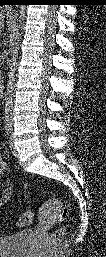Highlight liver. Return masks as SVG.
Here are the masks:
<instances>
[{
    "instance_id": "obj_1",
    "label": "liver",
    "mask_w": 106,
    "mask_h": 257,
    "mask_svg": "<svg viewBox=\"0 0 106 257\" xmlns=\"http://www.w3.org/2000/svg\"><path fill=\"white\" fill-rule=\"evenodd\" d=\"M3 19H4V15H3V13H1V15H0V20H1V25L3 26Z\"/></svg>"
}]
</instances>
